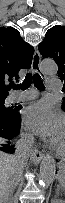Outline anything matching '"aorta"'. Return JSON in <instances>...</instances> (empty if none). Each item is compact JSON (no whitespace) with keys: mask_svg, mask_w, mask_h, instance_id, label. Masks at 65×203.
<instances>
[{"mask_svg":"<svg viewBox=\"0 0 65 203\" xmlns=\"http://www.w3.org/2000/svg\"><path fill=\"white\" fill-rule=\"evenodd\" d=\"M40 70L47 75L56 74L58 70L57 64L51 60H43L40 64ZM56 175L55 159L51 155H46L40 164L39 184L42 189H48L53 183Z\"/></svg>","mask_w":65,"mask_h":203,"instance_id":"1","label":"aorta"}]
</instances>
